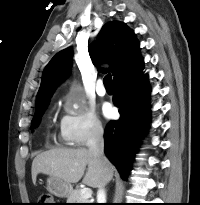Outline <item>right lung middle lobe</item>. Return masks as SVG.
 Masks as SVG:
<instances>
[{
	"mask_svg": "<svg viewBox=\"0 0 200 205\" xmlns=\"http://www.w3.org/2000/svg\"><path fill=\"white\" fill-rule=\"evenodd\" d=\"M49 101H50V99H46V100H43L36 105L35 115H34V118L32 120V128L38 126V124L40 122V118L43 115V112L45 111Z\"/></svg>",
	"mask_w": 200,
	"mask_h": 205,
	"instance_id": "obj_1",
	"label": "right lung middle lobe"
}]
</instances>
